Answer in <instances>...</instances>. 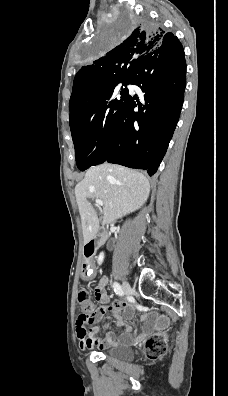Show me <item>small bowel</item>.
<instances>
[{
    "label": "small bowel",
    "mask_w": 228,
    "mask_h": 396,
    "mask_svg": "<svg viewBox=\"0 0 228 396\" xmlns=\"http://www.w3.org/2000/svg\"><path fill=\"white\" fill-rule=\"evenodd\" d=\"M83 272L86 277L93 276L94 265L89 261L84 263ZM107 284L108 278L103 276L94 286L95 298L98 302L102 303L103 306L95 312L93 321H101L106 313H110L112 318L115 319L119 325L125 327V332L121 334L120 337H116L115 334L109 332L103 339H100L97 336L99 330L97 327H93L87 331L84 326L78 323L76 334L82 349L96 348L102 350L120 343H129L134 340H139L151 330L154 325L151 319L145 318L143 320V332L137 336H133L131 334V327L125 324V320L133 316L134 307L132 304L123 301H115L109 304V295L106 291Z\"/></svg>",
    "instance_id": "obj_1"
}]
</instances>
